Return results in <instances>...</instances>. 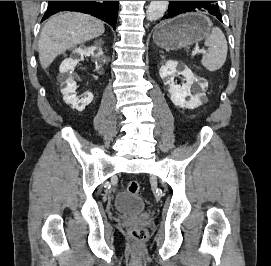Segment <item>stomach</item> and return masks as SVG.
Instances as JSON below:
<instances>
[{"label":"stomach","instance_id":"obj_1","mask_svg":"<svg viewBox=\"0 0 271 266\" xmlns=\"http://www.w3.org/2000/svg\"><path fill=\"white\" fill-rule=\"evenodd\" d=\"M210 20L199 12L187 13L155 27L154 43L167 51L196 43L211 31Z\"/></svg>","mask_w":271,"mask_h":266}]
</instances>
